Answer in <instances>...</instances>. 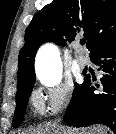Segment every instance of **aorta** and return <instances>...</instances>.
I'll list each match as a JSON object with an SVG mask.
<instances>
[{
	"label": "aorta",
	"instance_id": "762f6f07",
	"mask_svg": "<svg viewBox=\"0 0 116 134\" xmlns=\"http://www.w3.org/2000/svg\"><path fill=\"white\" fill-rule=\"evenodd\" d=\"M36 73L42 84L49 87L62 80V63L59 50L52 44L43 45L36 56Z\"/></svg>",
	"mask_w": 116,
	"mask_h": 134
}]
</instances>
